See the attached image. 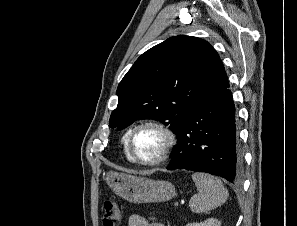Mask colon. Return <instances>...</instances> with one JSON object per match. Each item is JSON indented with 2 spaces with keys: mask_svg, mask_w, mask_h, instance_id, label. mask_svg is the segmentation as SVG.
I'll list each match as a JSON object with an SVG mask.
<instances>
[{
  "mask_svg": "<svg viewBox=\"0 0 297 226\" xmlns=\"http://www.w3.org/2000/svg\"><path fill=\"white\" fill-rule=\"evenodd\" d=\"M102 218L104 226H116L120 221V211L117 203L108 199L103 204Z\"/></svg>",
  "mask_w": 297,
  "mask_h": 226,
  "instance_id": "colon-1",
  "label": "colon"
}]
</instances>
